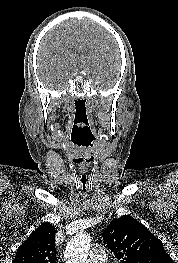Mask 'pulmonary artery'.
Masks as SVG:
<instances>
[{
	"label": "pulmonary artery",
	"mask_w": 178,
	"mask_h": 263,
	"mask_svg": "<svg viewBox=\"0 0 178 263\" xmlns=\"http://www.w3.org/2000/svg\"><path fill=\"white\" fill-rule=\"evenodd\" d=\"M88 261H89V263H106L107 254L100 247L92 248L89 252Z\"/></svg>",
	"instance_id": "e3ab8cb5"
}]
</instances>
